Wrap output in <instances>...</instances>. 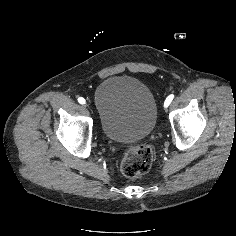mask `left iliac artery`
Returning a JSON list of instances; mask_svg holds the SVG:
<instances>
[{"mask_svg": "<svg viewBox=\"0 0 236 236\" xmlns=\"http://www.w3.org/2000/svg\"><path fill=\"white\" fill-rule=\"evenodd\" d=\"M173 98H174V95H173V94H170V95L166 98L164 104H167V105L169 106L170 103L172 102Z\"/></svg>", "mask_w": 236, "mask_h": 236, "instance_id": "obj_1", "label": "left iliac artery"}]
</instances>
